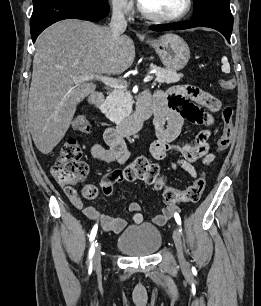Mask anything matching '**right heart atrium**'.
I'll use <instances>...</instances> for the list:
<instances>
[{
	"instance_id": "1",
	"label": "right heart atrium",
	"mask_w": 261,
	"mask_h": 306,
	"mask_svg": "<svg viewBox=\"0 0 261 306\" xmlns=\"http://www.w3.org/2000/svg\"><path fill=\"white\" fill-rule=\"evenodd\" d=\"M114 13L122 16H129L134 11L133 0H109Z\"/></svg>"
}]
</instances>
